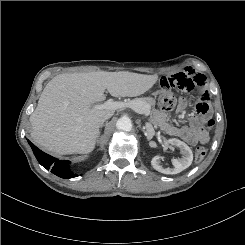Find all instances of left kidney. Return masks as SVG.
Returning a JSON list of instances; mask_svg holds the SVG:
<instances>
[{
	"mask_svg": "<svg viewBox=\"0 0 245 245\" xmlns=\"http://www.w3.org/2000/svg\"><path fill=\"white\" fill-rule=\"evenodd\" d=\"M169 144H171L174 147H178L182 153L181 158L172 159L173 167H164L160 156H155L151 160L152 167L157 170L158 172H161L163 174H178L188 168L193 161V153L190 147L182 142L181 140H178L176 138L169 139L163 143V147H167Z\"/></svg>",
	"mask_w": 245,
	"mask_h": 245,
	"instance_id": "1",
	"label": "left kidney"
}]
</instances>
